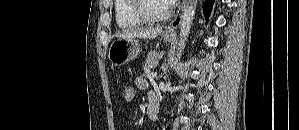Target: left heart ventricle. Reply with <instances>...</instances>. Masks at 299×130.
Masks as SVG:
<instances>
[{"label":"left heart ventricle","instance_id":"obj_1","mask_svg":"<svg viewBox=\"0 0 299 130\" xmlns=\"http://www.w3.org/2000/svg\"><path fill=\"white\" fill-rule=\"evenodd\" d=\"M149 8L153 14L161 15L166 12L167 4L165 1L154 0L149 2Z\"/></svg>","mask_w":299,"mask_h":130}]
</instances>
